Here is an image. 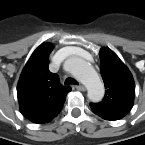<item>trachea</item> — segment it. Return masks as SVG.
<instances>
[{
	"instance_id": "trachea-1",
	"label": "trachea",
	"mask_w": 145,
	"mask_h": 145,
	"mask_svg": "<svg viewBox=\"0 0 145 145\" xmlns=\"http://www.w3.org/2000/svg\"><path fill=\"white\" fill-rule=\"evenodd\" d=\"M65 85H68V84H75V85H78V82L75 80V79H73V78H67L66 80H65V83H64Z\"/></svg>"
}]
</instances>
